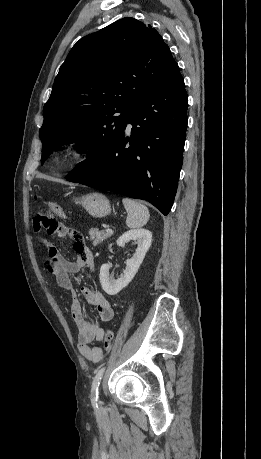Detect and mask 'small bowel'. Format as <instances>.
<instances>
[{"label": "small bowel", "instance_id": "small-bowel-1", "mask_svg": "<svg viewBox=\"0 0 261 459\" xmlns=\"http://www.w3.org/2000/svg\"><path fill=\"white\" fill-rule=\"evenodd\" d=\"M46 230L48 234L55 235L58 239L65 237L72 239L73 249L77 254V261L65 259L52 243L44 240L47 248L45 268L55 277L57 285L72 296L71 316L78 330L77 347L79 352L87 360L98 363L102 360L103 353L101 348L93 345V343L103 340L104 329L100 326L99 322L92 321L84 315L82 303L71 279V275L79 273L83 268L93 269V253L85 244L82 235L64 224L56 222L51 230ZM81 294L87 303L95 307L100 322H108L113 319V308L102 292L83 287L81 288Z\"/></svg>", "mask_w": 261, "mask_h": 459}]
</instances>
